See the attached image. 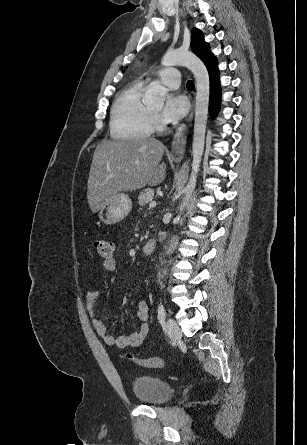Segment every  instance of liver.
I'll return each mask as SVG.
<instances>
[{"label": "liver", "mask_w": 307, "mask_h": 445, "mask_svg": "<svg viewBox=\"0 0 307 445\" xmlns=\"http://www.w3.org/2000/svg\"><path fill=\"white\" fill-rule=\"evenodd\" d=\"M165 148L156 138H103L94 150L88 176L87 198L92 212H98L117 192L160 184L166 174L165 162L159 164Z\"/></svg>", "instance_id": "liver-1"}]
</instances>
